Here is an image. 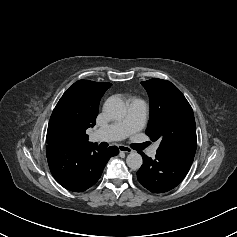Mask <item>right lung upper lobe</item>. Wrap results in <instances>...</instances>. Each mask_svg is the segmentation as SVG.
I'll return each mask as SVG.
<instances>
[{"mask_svg":"<svg viewBox=\"0 0 237 237\" xmlns=\"http://www.w3.org/2000/svg\"><path fill=\"white\" fill-rule=\"evenodd\" d=\"M111 85L108 82L79 80L60 98L52 115L61 117L70 126V145L90 144L86 129L95 125L100 99Z\"/></svg>","mask_w":237,"mask_h":237,"instance_id":"right-lung-upper-lobe-1","label":"right lung upper lobe"}]
</instances>
